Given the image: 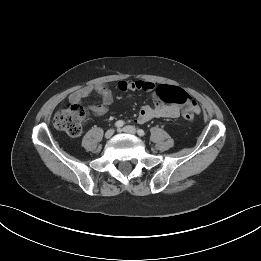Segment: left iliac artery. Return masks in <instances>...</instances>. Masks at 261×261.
Wrapping results in <instances>:
<instances>
[{
	"mask_svg": "<svg viewBox=\"0 0 261 261\" xmlns=\"http://www.w3.org/2000/svg\"><path fill=\"white\" fill-rule=\"evenodd\" d=\"M137 133H138L139 136H144L145 135V132L142 129H138Z\"/></svg>",
	"mask_w": 261,
	"mask_h": 261,
	"instance_id": "obj_1",
	"label": "left iliac artery"
}]
</instances>
